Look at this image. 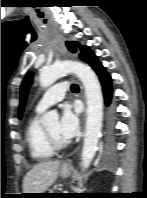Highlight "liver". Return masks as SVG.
<instances>
[{
	"mask_svg": "<svg viewBox=\"0 0 147 198\" xmlns=\"http://www.w3.org/2000/svg\"><path fill=\"white\" fill-rule=\"evenodd\" d=\"M60 161L36 164L24 177L23 193H44L57 179Z\"/></svg>",
	"mask_w": 147,
	"mask_h": 198,
	"instance_id": "obj_1",
	"label": "liver"
}]
</instances>
